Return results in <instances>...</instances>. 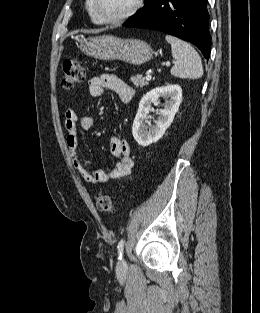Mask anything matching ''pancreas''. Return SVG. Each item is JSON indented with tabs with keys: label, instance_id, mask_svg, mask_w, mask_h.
<instances>
[{
	"label": "pancreas",
	"instance_id": "cf45deb5",
	"mask_svg": "<svg viewBox=\"0 0 260 313\" xmlns=\"http://www.w3.org/2000/svg\"><path fill=\"white\" fill-rule=\"evenodd\" d=\"M130 81L137 87L143 88L144 86L148 85V82L145 81V78L142 75L132 76Z\"/></svg>",
	"mask_w": 260,
	"mask_h": 313
}]
</instances>
